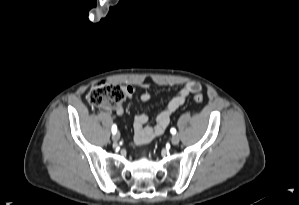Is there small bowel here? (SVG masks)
<instances>
[{
  "label": "small bowel",
  "mask_w": 299,
  "mask_h": 205,
  "mask_svg": "<svg viewBox=\"0 0 299 205\" xmlns=\"http://www.w3.org/2000/svg\"><path fill=\"white\" fill-rule=\"evenodd\" d=\"M147 87V85H143ZM128 96H133L135 90L132 86H126ZM201 89V86L197 82L186 83L179 92L167 103L166 107L156 116L155 124L153 126L148 125L149 116L144 113L137 114L134 118V140L139 145H144L151 142L154 138L162 135L169 126L171 116L180 108L186 101L190 94L197 93ZM153 98L152 94L145 92L140 95L141 102H148ZM117 115L124 114V109L120 105L115 108Z\"/></svg>",
  "instance_id": "1"
}]
</instances>
